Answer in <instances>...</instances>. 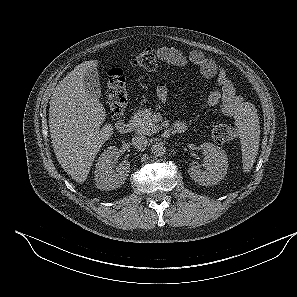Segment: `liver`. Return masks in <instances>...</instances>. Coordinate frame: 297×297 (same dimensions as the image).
Instances as JSON below:
<instances>
[{
  "label": "liver",
  "mask_w": 297,
  "mask_h": 297,
  "mask_svg": "<svg viewBox=\"0 0 297 297\" xmlns=\"http://www.w3.org/2000/svg\"><path fill=\"white\" fill-rule=\"evenodd\" d=\"M98 61H85L56 86L50 100L49 128L57 161L71 178L83 183L100 148L112 134L99 100L88 96L83 78Z\"/></svg>",
  "instance_id": "1"
}]
</instances>
